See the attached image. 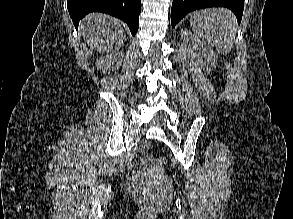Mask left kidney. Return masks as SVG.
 Returning <instances> with one entry per match:
<instances>
[{
  "label": "left kidney",
  "instance_id": "1",
  "mask_svg": "<svg viewBox=\"0 0 293 219\" xmlns=\"http://www.w3.org/2000/svg\"><path fill=\"white\" fill-rule=\"evenodd\" d=\"M181 38L189 54L200 64L201 68L211 70L216 66L217 55L209 45L194 37L187 30L181 31Z\"/></svg>",
  "mask_w": 293,
  "mask_h": 219
}]
</instances>
